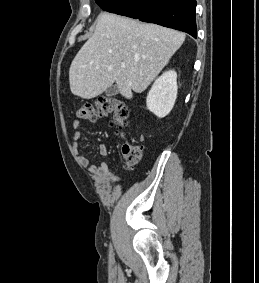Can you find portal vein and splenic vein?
Here are the masks:
<instances>
[{
	"label": "portal vein and splenic vein",
	"mask_w": 259,
	"mask_h": 283,
	"mask_svg": "<svg viewBox=\"0 0 259 283\" xmlns=\"http://www.w3.org/2000/svg\"><path fill=\"white\" fill-rule=\"evenodd\" d=\"M121 67H122V68H125V67H126V65H125V64H122V65H121Z\"/></svg>",
	"instance_id": "portal-vein-and-splenic-vein-1"
}]
</instances>
